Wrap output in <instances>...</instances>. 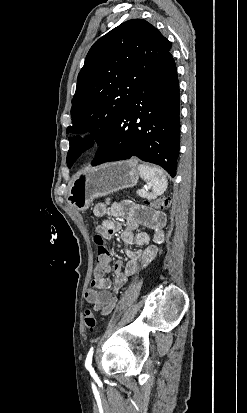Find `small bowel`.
Segmentation results:
<instances>
[{
	"mask_svg": "<svg viewBox=\"0 0 247 413\" xmlns=\"http://www.w3.org/2000/svg\"><path fill=\"white\" fill-rule=\"evenodd\" d=\"M107 212L114 217L124 218V228L121 229L120 225L113 220H105L98 227V232L104 237H110L121 229V240L127 261L117 260L112 266L110 265L108 273L113 271V282L108 277H93L91 287L85 292L86 301L92 305L94 311L102 315H109L117 304V296L110 289L113 287L114 292L118 293L126 285L129 275L140 272L155 257L157 245L163 241L162 228L166 223L161 213L132 203L99 202L93 208V214L96 217H102ZM141 226L154 230L153 244L147 232L135 233V230ZM134 245H147V248L144 251L131 250L130 247Z\"/></svg>",
	"mask_w": 247,
	"mask_h": 413,
	"instance_id": "1",
	"label": "small bowel"
}]
</instances>
